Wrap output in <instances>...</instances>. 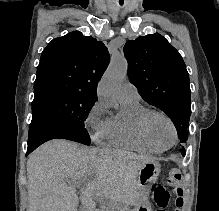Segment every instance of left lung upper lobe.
I'll return each mask as SVG.
<instances>
[{
  "label": "left lung upper lobe",
  "mask_w": 219,
  "mask_h": 211,
  "mask_svg": "<svg viewBox=\"0 0 219 211\" xmlns=\"http://www.w3.org/2000/svg\"><path fill=\"white\" fill-rule=\"evenodd\" d=\"M124 54L130 82L146 102L168 115L180 142L185 143L191 114V90L182 56L158 33L128 41Z\"/></svg>",
  "instance_id": "5c2ea615"
}]
</instances>
